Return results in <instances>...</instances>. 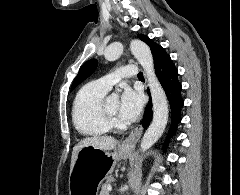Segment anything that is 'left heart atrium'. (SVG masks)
Wrapping results in <instances>:
<instances>
[{"label": "left heart atrium", "mask_w": 240, "mask_h": 195, "mask_svg": "<svg viewBox=\"0 0 240 195\" xmlns=\"http://www.w3.org/2000/svg\"><path fill=\"white\" fill-rule=\"evenodd\" d=\"M143 107L141 94L127 88L120 99V115L124 120L134 121L138 118Z\"/></svg>", "instance_id": "obj_1"}]
</instances>
